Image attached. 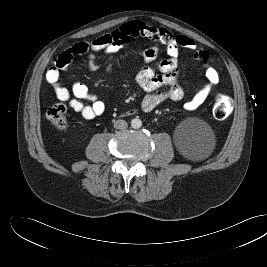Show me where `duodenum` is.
<instances>
[{
    "label": "duodenum",
    "instance_id": "duodenum-1",
    "mask_svg": "<svg viewBox=\"0 0 267 267\" xmlns=\"http://www.w3.org/2000/svg\"><path fill=\"white\" fill-rule=\"evenodd\" d=\"M134 111L132 110V111H129V113H133Z\"/></svg>",
    "mask_w": 267,
    "mask_h": 267
}]
</instances>
